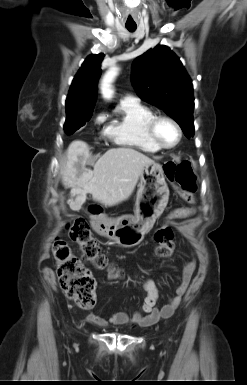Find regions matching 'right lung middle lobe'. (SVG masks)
<instances>
[{
    "mask_svg": "<svg viewBox=\"0 0 247 385\" xmlns=\"http://www.w3.org/2000/svg\"><path fill=\"white\" fill-rule=\"evenodd\" d=\"M93 108H66V121L64 129L67 134H72L90 120Z\"/></svg>",
    "mask_w": 247,
    "mask_h": 385,
    "instance_id": "right-lung-middle-lobe-1",
    "label": "right lung middle lobe"
}]
</instances>
